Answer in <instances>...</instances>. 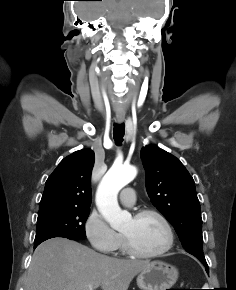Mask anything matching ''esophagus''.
<instances>
[{"mask_svg":"<svg viewBox=\"0 0 236 290\" xmlns=\"http://www.w3.org/2000/svg\"><path fill=\"white\" fill-rule=\"evenodd\" d=\"M125 119V114L124 113H117L116 114V121L118 123H122Z\"/></svg>","mask_w":236,"mask_h":290,"instance_id":"esophagus-1","label":"esophagus"}]
</instances>
